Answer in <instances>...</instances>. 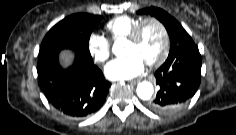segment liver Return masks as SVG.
<instances>
[{
	"label": "liver",
	"mask_w": 236,
	"mask_h": 135,
	"mask_svg": "<svg viewBox=\"0 0 236 135\" xmlns=\"http://www.w3.org/2000/svg\"><path fill=\"white\" fill-rule=\"evenodd\" d=\"M61 59L64 63V66H67L71 60V53L70 51H63L61 52Z\"/></svg>",
	"instance_id": "6515ba94"
}]
</instances>
